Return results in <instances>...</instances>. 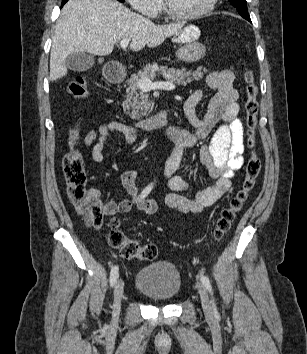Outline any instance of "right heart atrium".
I'll return each mask as SVG.
<instances>
[{
  "mask_svg": "<svg viewBox=\"0 0 307 354\" xmlns=\"http://www.w3.org/2000/svg\"><path fill=\"white\" fill-rule=\"evenodd\" d=\"M126 2L139 13L154 17L161 9L160 0H126Z\"/></svg>",
  "mask_w": 307,
  "mask_h": 354,
  "instance_id": "d8ad5b80",
  "label": "right heart atrium"
}]
</instances>
